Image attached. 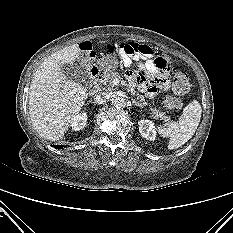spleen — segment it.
<instances>
[{
    "label": "spleen",
    "instance_id": "1",
    "mask_svg": "<svg viewBox=\"0 0 233 233\" xmlns=\"http://www.w3.org/2000/svg\"><path fill=\"white\" fill-rule=\"evenodd\" d=\"M201 105L197 100L189 103L178 122H170L167 126H158L162 137H169L168 149H176L184 145L194 134L201 118Z\"/></svg>",
    "mask_w": 233,
    "mask_h": 233
}]
</instances>
